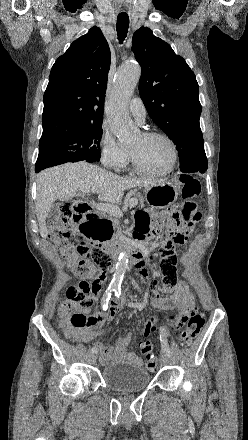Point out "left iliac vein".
I'll use <instances>...</instances> for the list:
<instances>
[{"instance_id":"1","label":"left iliac vein","mask_w":248,"mask_h":440,"mask_svg":"<svg viewBox=\"0 0 248 440\" xmlns=\"http://www.w3.org/2000/svg\"><path fill=\"white\" fill-rule=\"evenodd\" d=\"M169 361H170V359H169V356L167 354L163 353L160 356V363H161V365H163V366L167 365L169 363Z\"/></svg>"}]
</instances>
